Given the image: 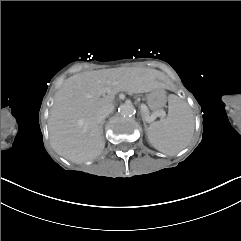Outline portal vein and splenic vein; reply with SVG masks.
Here are the masks:
<instances>
[{"label":"portal vein and splenic vein","mask_w":241,"mask_h":241,"mask_svg":"<svg viewBox=\"0 0 241 241\" xmlns=\"http://www.w3.org/2000/svg\"><path fill=\"white\" fill-rule=\"evenodd\" d=\"M109 92V91H108ZM141 112L144 115V118L148 121V122H154L155 119L157 117H161L162 120L166 119L165 113H164V109L160 108L159 110H157L156 112H154L152 115L150 113L147 112V106L145 103L141 104Z\"/></svg>","instance_id":"portal-vein-and-splenic-vein-1"}]
</instances>
